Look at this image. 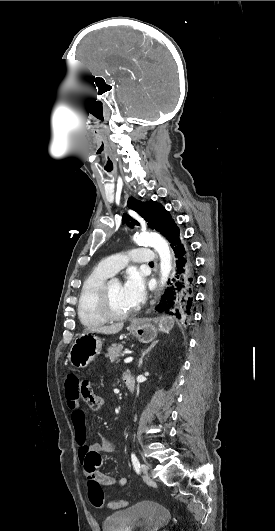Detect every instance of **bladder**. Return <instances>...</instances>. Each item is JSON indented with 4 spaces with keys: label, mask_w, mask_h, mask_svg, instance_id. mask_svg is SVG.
<instances>
[{
    "label": "bladder",
    "mask_w": 275,
    "mask_h": 531,
    "mask_svg": "<svg viewBox=\"0 0 275 531\" xmlns=\"http://www.w3.org/2000/svg\"><path fill=\"white\" fill-rule=\"evenodd\" d=\"M171 522L169 509L161 503L139 501L133 506L110 513L103 519V531H160Z\"/></svg>",
    "instance_id": "31cf9c89"
}]
</instances>
